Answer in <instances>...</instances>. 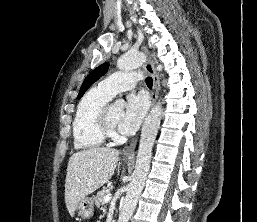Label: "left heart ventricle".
<instances>
[{"instance_id": "left-heart-ventricle-1", "label": "left heart ventricle", "mask_w": 257, "mask_h": 222, "mask_svg": "<svg viewBox=\"0 0 257 222\" xmlns=\"http://www.w3.org/2000/svg\"><path fill=\"white\" fill-rule=\"evenodd\" d=\"M122 109L117 106H111L110 108V122L116 127L122 117Z\"/></svg>"}]
</instances>
